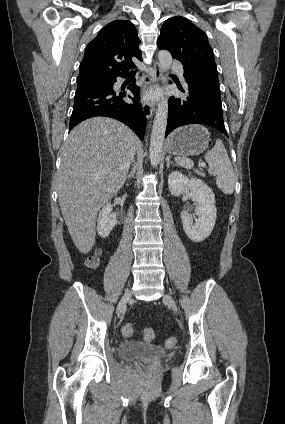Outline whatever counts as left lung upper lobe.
<instances>
[{
    "label": "left lung upper lobe",
    "mask_w": 285,
    "mask_h": 424,
    "mask_svg": "<svg viewBox=\"0 0 285 424\" xmlns=\"http://www.w3.org/2000/svg\"><path fill=\"white\" fill-rule=\"evenodd\" d=\"M157 45L181 61L184 77L202 70L218 73L206 34L184 17L176 16L164 22Z\"/></svg>",
    "instance_id": "obj_1"
}]
</instances>
